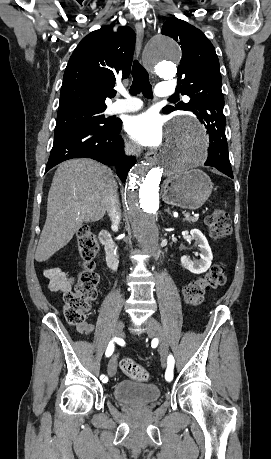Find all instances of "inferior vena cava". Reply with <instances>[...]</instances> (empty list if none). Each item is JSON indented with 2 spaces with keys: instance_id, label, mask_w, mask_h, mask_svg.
Returning a JSON list of instances; mask_svg holds the SVG:
<instances>
[{
  "instance_id": "1",
  "label": "inferior vena cava",
  "mask_w": 271,
  "mask_h": 459,
  "mask_svg": "<svg viewBox=\"0 0 271 459\" xmlns=\"http://www.w3.org/2000/svg\"><path fill=\"white\" fill-rule=\"evenodd\" d=\"M116 188L117 186L116 184H114V188L110 190L108 200L106 202V210L113 224H118V222H120L121 220V210H120V204H119Z\"/></svg>"
}]
</instances>
